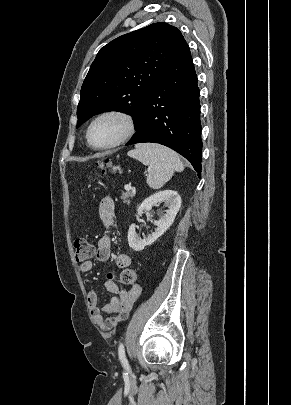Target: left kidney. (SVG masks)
Returning <instances> with one entry per match:
<instances>
[{
    "mask_svg": "<svg viewBox=\"0 0 291 405\" xmlns=\"http://www.w3.org/2000/svg\"><path fill=\"white\" fill-rule=\"evenodd\" d=\"M162 202L165 203L168 210L161 219L154 221V225L157 228L152 234L140 238L136 234L135 225L132 224L129 227L128 243L134 251H142L146 246L153 244L174 222L176 214L181 206V197L173 190H163L146 198L137 208V215L141 216L144 211H149L154 205Z\"/></svg>",
    "mask_w": 291,
    "mask_h": 405,
    "instance_id": "1",
    "label": "left kidney"
}]
</instances>
